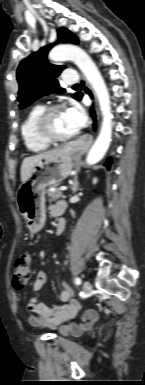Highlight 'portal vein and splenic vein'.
<instances>
[{"mask_svg":"<svg viewBox=\"0 0 145 385\" xmlns=\"http://www.w3.org/2000/svg\"><path fill=\"white\" fill-rule=\"evenodd\" d=\"M59 190H60V191H66V190H67V187H66V186H62V187H60Z\"/></svg>","mask_w":145,"mask_h":385,"instance_id":"18ae733b","label":"portal vein and splenic vein"}]
</instances>
